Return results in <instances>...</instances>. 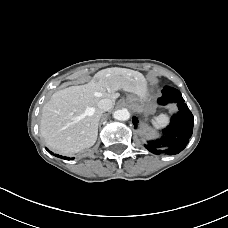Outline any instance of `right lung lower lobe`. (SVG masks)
Instances as JSON below:
<instances>
[{
  "label": "right lung lower lobe",
  "mask_w": 228,
  "mask_h": 228,
  "mask_svg": "<svg viewBox=\"0 0 228 228\" xmlns=\"http://www.w3.org/2000/svg\"><path fill=\"white\" fill-rule=\"evenodd\" d=\"M48 150V149H47ZM49 151V150H48ZM50 154H53L52 152L49 151ZM55 156L59 157V158H62V159H66V160H70L69 157H63V156H60V155H57L55 154Z\"/></svg>",
  "instance_id": "98d812e1"
}]
</instances>
